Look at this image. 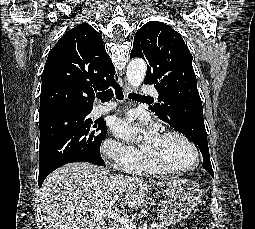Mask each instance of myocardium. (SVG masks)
Wrapping results in <instances>:
<instances>
[{
	"label": "myocardium",
	"instance_id": "myocardium-1",
	"mask_svg": "<svg viewBox=\"0 0 255 229\" xmlns=\"http://www.w3.org/2000/svg\"><path fill=\"white\" fill-rule=\"evenodd\" d=\"M161 136H175L184 141L191 148L194 154V160L190 165L185 167H169L161 164L160 162L154 161L144 152V150H142L141 156L147 164H149L152 168L161 171V174H183L195 169L198 166L200 163V152L194 142L187 135L177 130H166L161 133Z\"/></svg>",
	"mask_w": 255,
	"mask_h": 229
}]
</instances>
